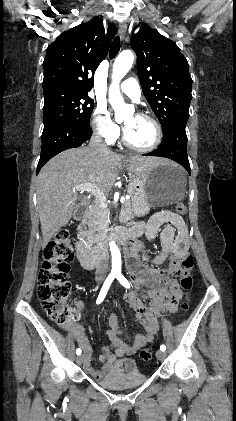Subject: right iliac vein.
Here are the masks:
<instances>
[{
	"label": "right iliac vein",
	"mask_w": 236,
	"mask_h": 421,
	"mask_svg": "<svg viewBox=\"0 0 236 421\" xmlns=\"http://www.w3.org/2000/svg\"><path fill=\"white\" fill-rule=\"evenodd\" d=\"M85 360V354H81L80 356H77L76 361L79 364H82Z\"/></svg>",
	"instance_id": "1"
}]
</instances>
